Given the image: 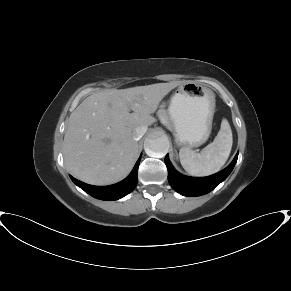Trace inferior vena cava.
Wrapping results in <instances>:
<instances>
[{
  "label": "inferior vena cava",
  "mask_w": 291,
  "mask_h": 291,
  "mask_svg": "<svg viewBox=\"0 0 291 291\" xmlns=\"http://www.w3.org/2000/svg\"><path fill=\"white\" fill-rule=\"evenodd\" d=\"M147 128L146 127H137L134 131H133V138L134 140L138 141L142 138V136L145 134Z\"/></svg>",
  "instance_id": "inferior-vena-cava-1"
}]
</instances>
